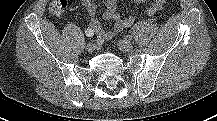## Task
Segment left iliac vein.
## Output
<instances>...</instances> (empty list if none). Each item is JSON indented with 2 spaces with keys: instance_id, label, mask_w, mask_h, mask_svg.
I'll return each instance as SVG.
<instances>
[{
  "instance_id": "obj_1",
  "label": "left iliac vein",
  "mask_w": 217,
  "mask_h": 121,
  "mask_svg": "<svg viewBox=\"0 0 217 121\" xmlns=\"http://www.w3.org/2000/svg\"><path fill=\"white\" fill-rule=\"evenodd\" d=\"M117 46L121 51L130 52L133 49V44L127 39L119 40Z\"/></svg>"
}]
</instances>
